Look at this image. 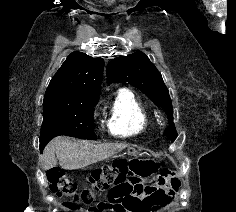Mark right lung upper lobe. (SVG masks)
Masks as SVG:
<instances>
[{"mask_svg":"<svg viewBox=\"0 0 236 212\" xmlns=\"http://www.w3.org/2000/svg\"><path fill=\"white\" fill-rule=\"evenodd\" d=\"M104 69L102 58L72 52L51 79L44 101H80L98 98Z\"/></svg>","mask_w":236,"mask_h":212,"instance_id":"obj_1","label":"right lung upper lobe"}]
</instances>
